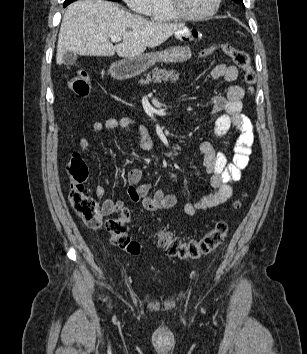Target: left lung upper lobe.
<instances>
[{"label":"left lung upper lobe","mask_w":307,"mask_h":354,"mask_svg":"<svg viewBox=\"0 0 307 354\" xmlns=\"http://www.w3.org/2000/svg\"><path fill=\"white\" fill-rule=\"evenodd\" d=\"M236 3H242V5L244 6L243 4V0H234Z\"/></svg>","instance_id":"left-lung-upper-lobe-1"}]
</instances>
